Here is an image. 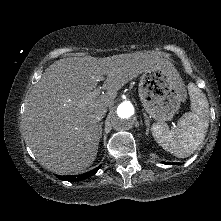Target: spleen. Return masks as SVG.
<instances>
[{"label": "spleen", "mask_w": 221, "mask_h": 221, "mask_svg": "<svg viewBox=\"0 0 221 221\" xmlns=\"http://www.w3.org/2000/svg\"><path fill=\"white\" fill-rule=\"evenodd\" d=\"M191 112L185 113L177 127L169 129L166 124L152 126L156 142L176 157L190 156L203 142L209 126L208 101L205 94L194 84H188Z\"/></svg>", "instance_id": "obj_1"}]
</instances>
